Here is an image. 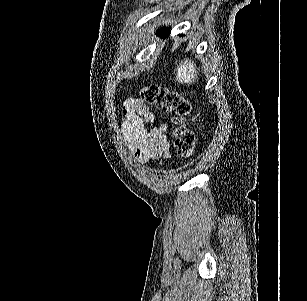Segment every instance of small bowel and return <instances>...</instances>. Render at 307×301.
Segmentation results:
<instances>
[{"label": "small bowel", "instance_id": "small-bowel-1", "mask_svg": "<svg viewBox=\"0 0 307 301\" xmlns=\"http://www.w3.org/2000/svg\"><path fill=\"white\" fill-rule=\"evenodd\" d=\"M121 115L122 138L136 160L147 163L169 156L168 126L161 124L147 128L148 124L154 123L155 116L142 99H126Z\"/></svg>", "mask_w": 307, "mask_h": 301}]
</instances>
